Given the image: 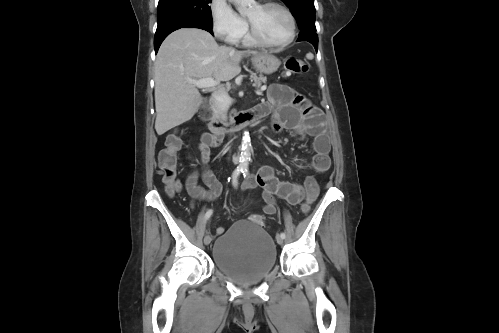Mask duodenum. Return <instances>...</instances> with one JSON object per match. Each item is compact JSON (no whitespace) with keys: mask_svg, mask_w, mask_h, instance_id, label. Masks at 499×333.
I'll return each mask as SVG.
<instances>
[{"mask_svg":"<svg viewBox=\"0 0 499 333\" xmlns=\"http://www.w3.org/2000/svg\"><path fill=\"white\" fill-rule=\"evenodd\" d=\"M264 116V111L259 107L235 112L225 121L211 119L207 114H204V117L209 120L211 134L215 137L240 131L244 127L256 123Z\"/></svg>","mask_w":499,"mask_h":333,"instance_id":"410a0bca","label":"duodenum"}]
</instances>
